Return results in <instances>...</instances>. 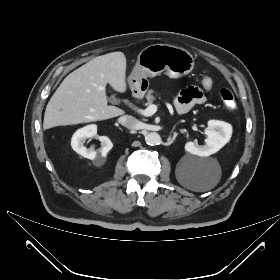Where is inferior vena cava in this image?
Returning a JSON list of instances; mask_svg holds the SVG:
<instances>
[{
  "mask_svg": "<svg viewBox=\"0 0 280 280\" xmlns=\"http://www.w3.org/2000/svg\"><path fill=\"white\" fill-rule=\"evenodd\" d=\"M120 123L131 130H138L141 127V122L133 116L125 115L120 117Z\"/></svg>",
  "mask_w": 280,
  "mask_h": 280,
  "instance_id": "602c4592",
  "label": "inferior vena cava"
}]
</instances>
